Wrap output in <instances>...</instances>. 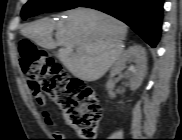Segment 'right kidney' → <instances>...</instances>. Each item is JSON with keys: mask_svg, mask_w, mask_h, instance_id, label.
I'll use <instances>...</instances> for the list:
<instances>
[{"mask_svg": "<svg viewBox=\"0 0 182 140\" xmlns=\"http://www.w3.org/2000/svg\"><path fill=\"white\" fill-rule=\"evenodd\" d=\"M130 61L135 63V67L132 71V78L129 81L130 89L135 91L138 89L146 75L147 71V57L145 49L140 45H134L129 47L125 53L119 58V60L113 65L109 80L106 83L107 90H113L115 82L113 77L119 74L126 68V64ZM110 97H115V94H110Z\"/></svg>", "mask_w": 182, "mask_h": 140, "instance_id": "right-kidney-1", "label": "right kidney"}]
</instances>
